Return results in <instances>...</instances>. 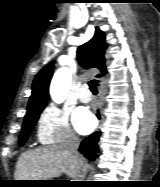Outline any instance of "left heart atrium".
I'll return each mask as SVG.
<instances>
[{"mask_svg": "<svg viewBox=\"0 0 160 187\" xmlns=\"http://www.w3.org/2000/svg\"><path fill=\"white\" fill-rule=\"evenodd\" d=\"M73 123L81 134L90 133L95 127V120L91 113L85 108H80L73 115Z\"/></svg>", "mask_w": 160, "mask_h": 187, "instance_id": "obj_1", "label": "left heart atrium"}]
</instances>
